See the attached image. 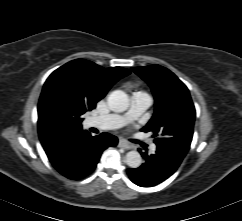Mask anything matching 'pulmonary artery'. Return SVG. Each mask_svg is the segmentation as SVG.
<instances>
[{"instance_id": "obj_1", "label": "pulmonary artery", "mask_w": 242, "mask_h": 221, "mask_svg": "<svg viewBox=\"0 0 242 221\" xmlns=\"http://www.w3.org/2000/svg\"><path fill=\"white\" fill-rule=\"evenodd\" d=\"M152 103L151 97L144 92H134L131 96L129 109L123 114H109L93 117L90 120L92 127L101 130H114L138 118ZM154 151L156 146L151 145Z\"/></svg>"}]
</instances>
